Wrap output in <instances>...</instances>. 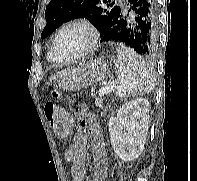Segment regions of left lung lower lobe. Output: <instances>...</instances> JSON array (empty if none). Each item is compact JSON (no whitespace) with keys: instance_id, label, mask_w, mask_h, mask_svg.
<instances>
[{"instance_id":"1","label":"left lung lower lobe","mask_w":197,"mask_h":181,"mask_svg":"<svg viewBox=\"0 0 197 181\" xmlns=\"http://www.w3.org/2000/svg\"><path fill=\"white\" fill-rule=\"evenodd\" d=\"M127 8L113 19L101 42L123 43L136 53L150 57L157 50L158 12L156 0H128Z\"/></svg>"}]
</instances>
